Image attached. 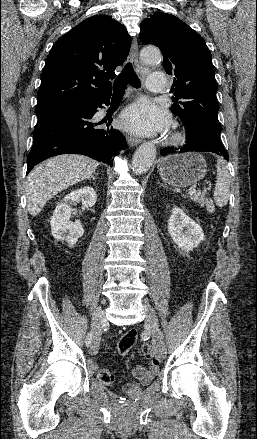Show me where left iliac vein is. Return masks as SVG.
I'll return each instance as SVG.
<instances>
[{"label": "left iliac vein", "mask_w": 257, "mask_h": 439, "mask_svg": "<svg viewBox=\"0 0 257 439\" xmlns=\"http://www.w3.org/2000/svg\"><path fill=\"white\" fill-rule=\"evenodd\" d=\"M144 312L146 324L154 336L157 356L159 359H164L166 357V347L159 335L158 318L156 312L148 303L144 304Z\"/></svg>", "instance_id": "obj_1"}]
</instances>
